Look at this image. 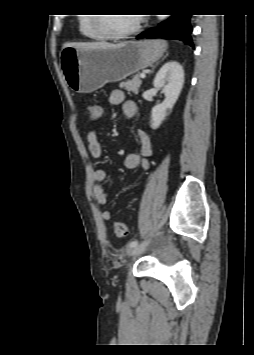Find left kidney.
Here are the masks:
<instances>
[{
	"label": "left kidney",
	"instance_id": "5707ae66",
	"mask_svg": "<svg viewBox=\"0 0 254 355\" xmlns=\"http://www.w3.org/2000/svg\"><path fill=\"white\" fill-rule=\"evenodd\" d=\"M184 84V70L176 61L165 63L155 76L153 85L156 89L162 90L165 95L164 101L152 108L151 128L157 129L173 109L178 100Z\"/></svg>",
	"mask_w": 254,
	"mask_h": 355
}]
</instances>
